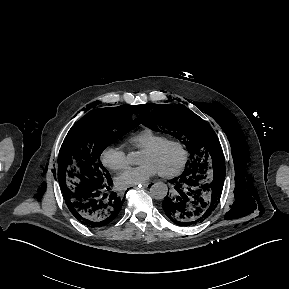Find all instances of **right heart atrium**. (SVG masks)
<instances>
[{
  "instance_id": "d8ad5b80",
  "label": "right heart atrium",
  "mask_w": 289,
  "mask_h": 289,
  "mask_svg": "<svg viewBox=\"0 0 289 289\" xmlns=\"http://www.w3.org/2000/svg\"><path fill=\"white\" fill-rule=\"evenodd\" d=\"M101 162L110 170H121L127 166V153L121 146L108 145L101 152Z\"/></svg>"
}]
</instances>
